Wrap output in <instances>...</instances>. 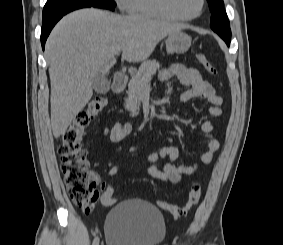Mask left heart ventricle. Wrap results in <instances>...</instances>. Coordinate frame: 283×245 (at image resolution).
I'll return each mask as SVG.
<instances>
[{
	"instance_id": "left-heart-ventricle-1",
	"label": "left heart ventricle",
	"mask_w": 283,
	"mask_h": 245,
	"mask_svg": "<svg viewBox=\"0 0 283 245\" xmlns=\"http://www.w3.org/2000/svg\"><path fill=\"white\" fill-rule=\"evenodd\" d=\"M174 12L183 17H189L197 13L200 0H171Z\"/></svg>"
}]
</instances>
